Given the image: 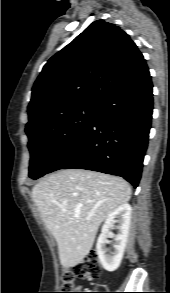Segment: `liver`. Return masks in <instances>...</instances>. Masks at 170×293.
I'll return each instance as SVG.
<instances>
[{"label": "liver", "mask_w": 170, "mask_h": 293, "mask_svg": "<svg viewBox=\"0 0 170 293\" xmlns=\"http://www.w3.org/2000/svg\"><path fill=\"white\" fill-rule=\"evenodd\" d=\"M130 197L131 187L124 179L83 169L59 170L45 176L32 190V199L57 242L65 268L83 261L100 224Z\"/></svg>", "instance_id": "1"}]
</instances>
